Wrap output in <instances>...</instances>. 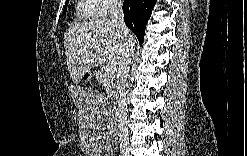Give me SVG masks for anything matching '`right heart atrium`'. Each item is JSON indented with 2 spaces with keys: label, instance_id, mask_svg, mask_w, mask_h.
Wrapping results in <instances>:
<instances>
[{
  "label": "right heart atrium",
  "instance_id": "1",
  "mask_svg": "<svg viewBox=\"0 0 247 156\" xmlns=\"http://www.w3.org/2000/svg\"><path fill=\"white\" fill-rule=\"evenodd\" d=\"M95 2L98 6V13L100 15L106 14L119 4L116 0H97Z\"/></svg>",
  "mask_w": 247,
  "mask_h": 156
}]
</instances>
